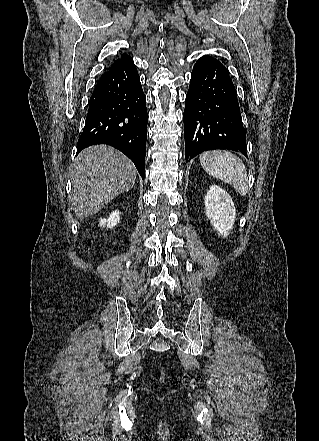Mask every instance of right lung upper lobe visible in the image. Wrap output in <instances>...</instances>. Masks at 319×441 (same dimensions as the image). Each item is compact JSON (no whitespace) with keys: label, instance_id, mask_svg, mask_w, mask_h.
<instances>
[{"label":"right lung upper lobe","instance_id":"obj_1","mask_svg":"<svg viewBox=\"0 0 319 441\" xmlns=\"http://www.w3.org/2000/svg\"><path fill=\"white\" fill-rule=\"evenodd\" d=\"M132 58L127 54H122L120 59H117L109 68L107 71L114 69L118 67L119 65L131 60Z\"/></svg>","mask_w":319,"mask_h":441}]
</instances>
